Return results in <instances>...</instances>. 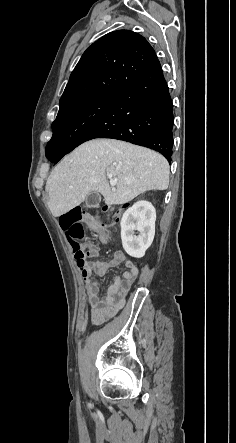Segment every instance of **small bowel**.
I'll return each mask as SVG.
<instances>
[{
    "instance_id": "obj_1",
    "label": "small bowel",
    "mask_w": 236,
    "mask_h": 443,
    "mask_svg": "<svg viewBox=\"0 0 236 443\" xmlns=\"http://www.w3.org/2000/svg\"><path fill=\"white\" fill-rule=\"evenodd\" d=\"M99 239L103 244L112 243L111 239L105 234H101ZM88 247L93 253H98L97 245L90 243ZM76 263L85 284L92 322L100 324L124 306L131 286L137 278L139 268L121 250H116L109 261H92L83 264L76 261ZM121 264L125 265L122 276H115L113 283L107 289L106 295H100L101 284L95 279V276H104L109 269Z\"/></svg>"
}]
</instances>
